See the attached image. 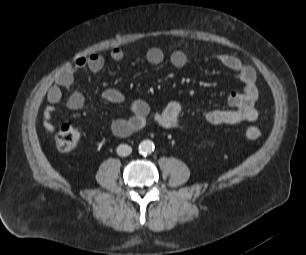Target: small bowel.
<instances>
[{
    "instance_id": "obj_1",
    "label": "small bowel",
    "mask_w": 306,
    "mask_h": 255,
    "mask_svg": "<svg viewBox=\"0 0 306 255\" xmlns=\"http://www.w3.org/2000/svg\"><path fill=\"white\" fill-rule=\"evenodd\" d=\"M124 56L123 50L119 47L110 51V58L115 62L122 61ZM146 59L152 65H160L165 60V53L158 47H151L146 52ZM168 60L173 67L181 69L187 64L188 57L184 51L176 49L169 54ZM215 60L237 77L242 84V90L233 91L229 94L228 103L232 109L207 111L204 114L205 121L211 125H235L241 122L255 121L258 118V111L255 107L258 99L255 70L243 64L239 58L231 54H216ZM104 66L105 58L95 53L75 59L56 74L53 85L47 92L49 105L45 107L43 112V127L45 130L53 131L55 128L52 116L55 105L63 99L64 91H71L67 99L68 108L72 110L83 108L84 96L80 91L74 89L77 72L86 69L93 74H97L103 70ZM102 98L113 104H122L126 100L121 91L113 88L104 90ZM130 113L128 118L118 119L112 123L111 129L116 136L123 137L136 132L149 121L169 130L177 129L181 124L183 108L179 102L173 101L167 104L162 111L152 112L144 100L137 99L131 102Z\"/></svg>"
}]
</instances>
